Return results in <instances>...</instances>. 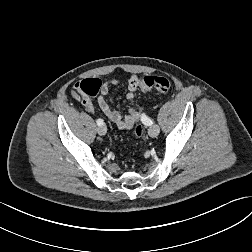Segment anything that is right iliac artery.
I'll return each instance as SVG.
<instances>
[{"instance_id": "1", "label": "right iliac artery", "mask_w": 252, "mask_h": 252, "mask_svg": "<svg viewBox=\"0 0 252 252\" xmlns=\"http://www.w3.org/2000/svg\"><path fill=\"white\" fill-rule=\"evenodd\" d=\"M96 123H97V125L98 126H101V125H103V120L102 119H98L97 121H96Z\"/></svg>"}]
</instances>
